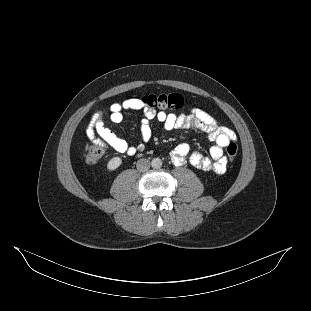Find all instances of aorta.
<instances>
[{"instance_id":"aorta-1","label":"aorta","mask_w":311,"mask_h":311,"mask_svg":"<svg viewBox=\"0 0 311 311\" xmlns=\"http://www.w3.org/2000/svg\"><path fill=\"white\" fill-rule=\"evenodd\" d=\"M151 165L154 169H159L162 166V160L160 158H154L151 161Z\"/></svg>"}]
</instances>
